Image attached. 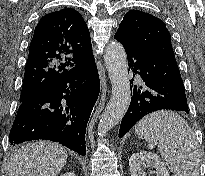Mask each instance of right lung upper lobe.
<instances>
[{
    "mask_svg": "<svg viewBox=\"0 0 205 176\" xmlns=\"http://www.w3.org/2000/svg\"><path fill=\"white\" fill-rule=\"evenodd\" d=\"M92 57L90 33L79 12L68 8L45 15L30 44L20 100Z\"/></svg>",
    "mask_w": 205,
    "mask_h": 176,
    "instance_id": "1",
    "label": "right lung upper lobe"
}]
</instances>
